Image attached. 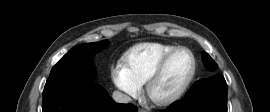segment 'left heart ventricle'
Wrapping results in <instances>:
<instances>
[{
  "mask_svg": "<svg viewBox=\"0 0 270 112\" xmlns=\"http://www.w3.org/2000/svg\"><path fill=\"white\" fill-rule=\"evenodd\" d=\"M192 67L190 55L181 51L168 63L163 75L152 90L154 98L166 97L176 91L188 77Z\"/></svg>",
  "mask_w": 270,
  "mask_h": 112,
  "instance_id": "1",
  "label": "left heart ventricle"
}]
</instances>
